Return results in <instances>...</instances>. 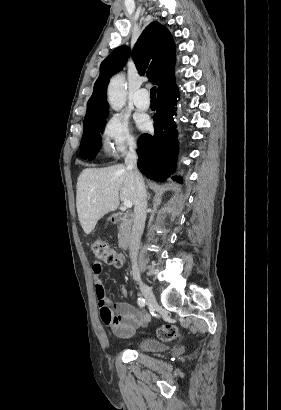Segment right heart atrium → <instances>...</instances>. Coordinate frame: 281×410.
Returning <instances> with one entry per match:
<instances>
[{
	"instance_id": "1",
	"label": "right heart atrium",
	"mask_w": 281,
	"mask_h": 410,
	"mask_svg": "<svg viewBox=\"0 0 281 410\" xmlns=\"http://www.w3.org/2000/svg\"><path fill=\"white\" fill-rule=\"evenodd\" d=\"M101 136L102 150L108 156L122 155L136 146L128 120L120 114H113L106 120Z\"/></svg>"
}]
</instances>
